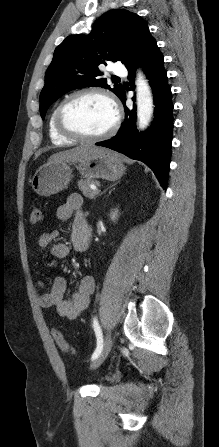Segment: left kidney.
I'll return each instance as SVG.
<instances>
[{
  "label": "left kidney",
  "mask_w": 219,
  "mask_h": 447,
  "mask_svg": "<svg viewBox=\"0 0 219 447\" xmlns=\"http://www.w3.org/2000/svg\"><path fill=\"white\" fill-rule=\"evenodd\" d=\"M110 219L113 222H116V220L118 219V209H114L111 213H110Z\"/></svg>",
  "instance_id": "1"
}]
</instances>
